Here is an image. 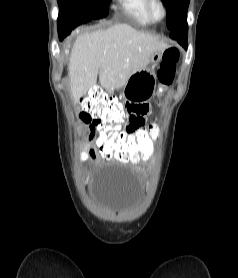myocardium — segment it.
Wrapping results in <instances>:
<instances>
[{"instance_id": "f54148a6", "label": "myocardium", "mask_w": 238, "mask_h": 278, "mask_svg": "<svg viewBox=\"0 0 238 278\" xmlns=\"http://www.w3.org/2000/svg\"><path fill=\"white\" fill-rule=\"evenodd\" d=\"M158 4L162 9V16L156 18L153 14V5ZM146 12L152 22H161L167 15V8L163 0H146Z\"/></svg>"}]
</instances>
